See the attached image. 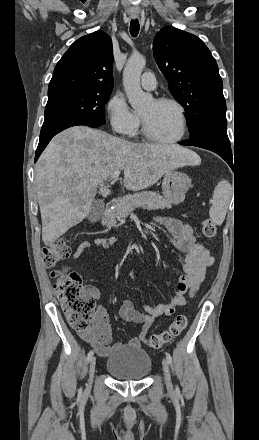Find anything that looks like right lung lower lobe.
<instances>
[{
	"label": "right lung lower lobe",
	"mask_w": 259,
	"mask_h": 440,
	"mask_svg": "<svg viewBox=\"0 0 259 440\" xmlns=\"http://www.w3.org/2000/svg\"><path fill=\"white\" fill-rule=\"evenodd\" d=\"M77 125H86L89 127L101 126V124H99V123L89 121L86 119H80V118H68V119H63V120L56 121V122H53L50 124H45V125L43 124V126L41 128L39 144H38L36 154H35V162L38 160L40 154L45 149V147L47 146L49 141L57 133L61 132L64 129H67L72 126H77Z\"/></svg>",
	"instance_id": "obj_1"
}]
</instances>
